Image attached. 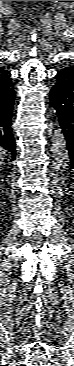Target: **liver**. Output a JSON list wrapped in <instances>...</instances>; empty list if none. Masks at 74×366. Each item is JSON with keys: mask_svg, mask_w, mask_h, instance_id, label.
Wrapping results in <instances>:
<instances>
[{"mask_svg": "<svg viewBox=\"0 0 74 366\" xmlns=\"http://www.w3.org/2000/svg\"><path fill=\"white\" fill-rule=\"evenodd\" d=\"M0 154H1V159H3V157H4V156H5V154H6V152H5L3 149H1Z\"/></svg>", "mask_w": 74, "mask_h": 366, "instance_id": "obj_1", "label": "liver"}]
</instances>
